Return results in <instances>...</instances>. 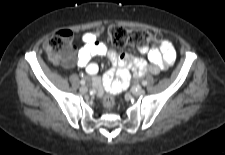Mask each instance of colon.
I'll return each mask as SVG.
<instances>
[{"instance_id": "5ec220e1", "label": "colon", "mask_w": 225, "mask_h": 155, "mask_svg": "<svg viewBox=\"0 0 225 155\" xmlns=\"http://www.w3.org/2000/svg\"><path fill=\"white\" fill-rule=\"evenodd\" d=\"M111 42L118 46L124 47L132 45L136 47L146 46L150 42L160 43L163 39L145 29H128L121 25H110L102 30ZM44 48L53 62H70L74 60L73 54V34L70 30H59L51 35L44 43ZM103 102L111 107L113 99L111 95H105Z\"/></svg>"}]
</instances>
